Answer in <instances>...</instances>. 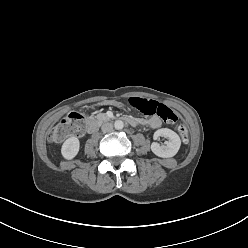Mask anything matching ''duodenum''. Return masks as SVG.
<instances>
[{
	"instance_id": "1",
	"label": "duodenum",
	"mask_w": 248,
	"mask_h": 248,
	"mask_svg": "<svg viewBox=\"0 0 248 248\" xmlns=\"http://www.w3.org/2000/svg\"><path fill=\"white\" fill-rule=\"evenodd\" d=\"M128 124L132 125V126H135L138 121L135 120V119H131V118H125L124 119ZM98 124H99V121L98 120H91L87 123V126H86V130L88 133H92L94 132L97 127H98Z\"/></svg>"
}]
</instances>
